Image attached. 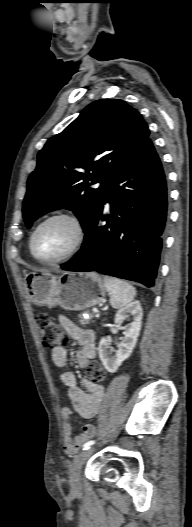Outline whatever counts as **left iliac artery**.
Listing matches in <instances>:
<instances>
[{"mask_svg":"<svg viewBox=\"0 0 192 527\" xmlns=\"http://www.w3.org/2000/svg\"><path fill=\"white\" fill-rule=\"evenodd\" d=\"M95 443L94 440L88 441L83 445V450H88L93 444Z\"/></svg>","mask_w":192,"mask_h":527,"instance_id":"1","label":"left iliac artery"}]
</instances>
